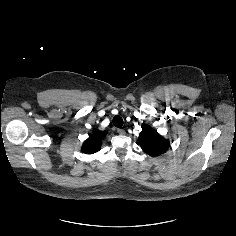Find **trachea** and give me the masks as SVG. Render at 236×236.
<instances>
[{
	"label": "trachea",
	"instance_id": "1",
	"mask_svg": "<svg viewBox=\"0 0 236 236\" xmlns=\"http://www.w3.org/2000/svg\"><path fill=\"white\" fill-rule=\"evenodd\" d=\"M113 124L117 128H121L123 126V119L120 116H115L113 118Z\"/></svg>",
	"mask_w": 236,
	"mask_h": 236
}]
</instances>
